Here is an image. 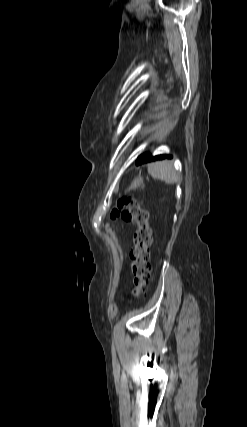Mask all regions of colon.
I'll use <instances>...</instances> for the list:
<instances>
[{
    "instance_id": "1",
    "label": "colon",
    "mask_w": 247,
    "mask_h": 427,
    "mask_svg": "<svg viewBox=\"0 0 247 427\" xmlns=\"http://www.w3.org/2000/svg\"><path fill=\"white\" fill-rule=\"evenodd\" d=\"M111 218H121L136 227L133 236V248L130 252L132 294L138 296L144 289L150 275V246L152 230L149 225V213L132 197H122L111 211Z\"/></svg>"
}]
</instances>
